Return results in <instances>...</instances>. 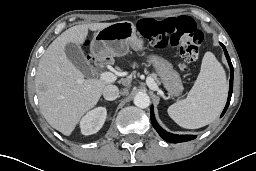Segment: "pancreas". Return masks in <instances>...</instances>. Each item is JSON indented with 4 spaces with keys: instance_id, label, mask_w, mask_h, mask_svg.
Here are the masks:
<instances>
[{
    "instance_id": "cf45deb5",
    "label": "pancreas",
    "mask_w": 256,
    "mask_h": 171,
    "mask_svg": "<svg viewBox=\"0 0 256 171\" xmlns=\"http://www.w3.org/2000/svg\"><path fill=\"white\" fill-rule=\"evenodd\" d=\"M150 78L154 81V83H159L157 76L155 74H151Z\"/></svg>"
}]
</instances>
